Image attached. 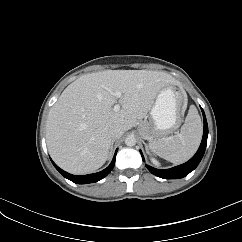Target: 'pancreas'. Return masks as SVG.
I'll return each instance as SVG.
<instances>
[{"mask_svg":"<svg viewBox=\"0 0 242 242\" xmlns=\"http://www.w3.org/2000/svg\"><path fill=\"white\" fill-rule=\"evenodd\" d=\"M147 129H149V124L144 123V124H141V125H140V130H141V131H145V130H147Z\"/></svg>","mask_w":242,"mask_h":242,"instance_id":"pancreas-1","label":"pancreas"}]
</instances>
